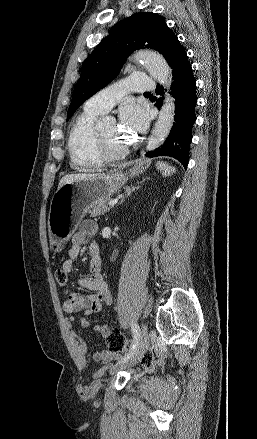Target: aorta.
<instances>
[{"instance_id": "aorta-1", "label": "aorta", "mask_w": 257, "mask_h": 439, "mask_svg": "<svg viewBox=\"0 0 257 439\" xmlns=\"http://www.w3.org/2000/svg\"><path fill=\"white\" fill-rule=\"evenodd\" d=\"M133 57L135 60L143 63L149 74L162 86L169 88L171 69L161 54L151 50H142L135 53ZM174 110L173 99L167 96L149 138L147 145L148 150L159 147L166 140L174 122ZM107 121H109L108 117L98 122V126H103Z\"/></svg>"}]
</instances>
